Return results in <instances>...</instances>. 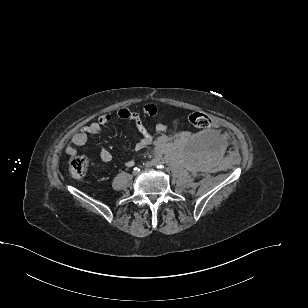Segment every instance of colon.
<instances>
[{
	"instance_id": "obj_1",
	"label": "colon",
	"mask_w": 308,
	"mask_h": 308,
	"mask_svg": "<svg viewBox=\"0 0 308 308\" xmlns=\"http://www.w3.org/2000/svg\"><path fill=\"white\" fill-rule=\"evenodd\" d=\"M189 123L198 129H205L211 126V118L202 112H194L188 116ZM88 161L84 156H73L69 161V169L71 174L80 178L86 173Z\"/></svg>"
}]
</instances>
